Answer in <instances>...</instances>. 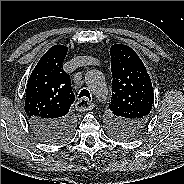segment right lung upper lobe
Masks as SVG:
<instances>
[{
	"instance_id": "obj_1",
	"label": "right lung upper lobe",
	"mask_w": 184,
	"mask_h": 184,
	"mask_svg": "<svg viewBox=\"0 0 184 184\" xmlns=\"http://www.w3.org/2000/svg\"><path fill=\"white\" fill-rule=\"evenodd\" d=\"M68 48L52 46L32 71L26 88L25 112L28 120L59 121L70 115L75 96L70 75L62 67Z\"/></svg>"
}]
</instances>
